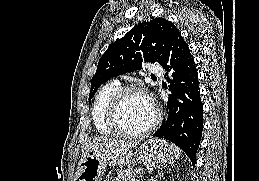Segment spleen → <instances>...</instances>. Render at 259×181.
<instances>
[{"label":"spleen","mask_w":259,"mask_h":181,"mask_svg":"<svg viewBox=\"0 0 259 181\" xmlns=\"http://www.w3.org/2000/svg\"><path fill=\"white\" fill-rule=\"evenodd\" d=\"M171 148L173 150L175 158L178 159L180 157V154H181L180 149L177 146H175L174 144H171Z\"/></svg>","instance_id":"3e777b00"}]
</instances>
